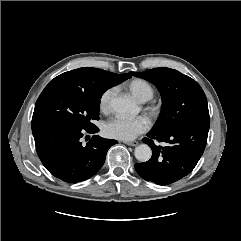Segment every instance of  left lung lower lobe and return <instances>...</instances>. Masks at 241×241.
Wrapping results in <instances>:
<instances>
[{"label": "left lung lower lobe", "instance_id": "1", "mask_svg": "<svg viewBox=\"0 0 241 241\" xmlns=\"http://www.w3.org/2000/svg\"><path fill=\"white\" fill-rule=\"evenodd\" d=\"M210 126L209 121H197L168 132L150 131L143 141L152 148V157L136 163L137 173L159 185L174 183L188 175L202 156ZM152 139L167 143L157 146Z\"/></svg>", "mask_w": 241, "mask_h": 241}]
</instances>
